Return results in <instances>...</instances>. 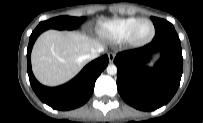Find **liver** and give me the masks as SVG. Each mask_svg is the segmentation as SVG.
Returning <instances> with one entry per match:
<instances>
[{"mask_svg":"<svg viewBox=\"0 0 203 123\" xmlns=\"http://www.w3.org/2000/svg\"><path fill=\"white\" fill-rule=\"evenodd\" d=\"M103 47L97 38L75 31L47 30L36 40L32 70L46 86H57L71 80L85 65L86 55Z\"/></svg>","mask_w":203,"mask_h":123,"instance_id":"obj_1","label":"liver"}]
</instances>
